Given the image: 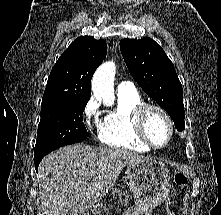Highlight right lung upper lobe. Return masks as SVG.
Here are the masks:
<instances>
[{"label":"right lung upper lobe","instance_id":"right-lung-upper-lobe-1","mask_svg":"<svg viewBox=\"0 0 221 215\" xmlns=\"http://www.w3.org/2000/svg\"><path fill=\"white\" fill-rule=\"evenodd\" d=\"M107 44L91 36L75 39L51 70L42 103L55 100H89L91 79L106 57Z\"/></svg>","mask_w":221,"mask_h":215}]
</instances>
